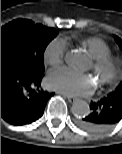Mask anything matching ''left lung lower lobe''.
<instances>
[{"instance_id": "0a47b994", "label": "left lung lower lobe", "mask_w": 122, "mask_h": 154, "mask_svg": "<svg viewBox=\"0 0 122 154\" xmlns=\"http://www.w3.org/2000/svg\"><path fill=\"white\" fill-rule=\"evenodd\" d=\"M88 115L78 120V126L89 132H103L122 119V103L111 95L97 102H91Z\"/></svg>"}]
</instances>
